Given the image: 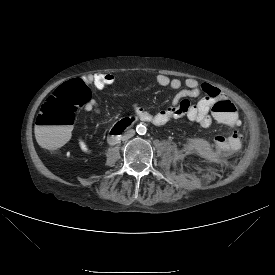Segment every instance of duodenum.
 Segmentation results:
<instances>
[{"label": "duodenum", "instance_id": "410a0bca", "mask_svg": "<svg viewBox=\"0 0 275 275\" xmlns=\"http://www.w3.org/2000/svg\"><path fill=\"white\" fill-rule=\"evenodd\" d=\"M135 122V117H126L115 123L109 132L107 139L108 143L111 145L116 144L121 135L130 127H132Z\"/></svg>", "mask_w": 275, "mask_h": 275}]
</instances>
